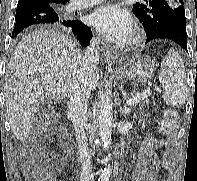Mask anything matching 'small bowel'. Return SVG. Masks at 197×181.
<instances>
[{"label":"small bowel","mask_w":197,"mask_h":181,"mask_svg":"<svg viewBox=\"0 0 197 181\" xmlns=\"http://www.w3.org/2000/svg\"><path fill=\"white\" fill-rule=\"evenodd\" d=\"M164 145L161 139L147 137L141 143L138 159L132 173L133 181H156L159 159L157 150Z\"/></svg>","instance_id":"small-bowel-1"}]
</instances>
